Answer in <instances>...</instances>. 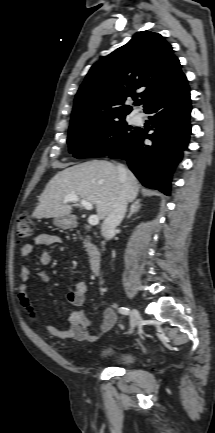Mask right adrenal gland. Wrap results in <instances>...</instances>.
Here are the masks:
<instances>
[{
  "instance_id": "1",
  "label": "right adrenal gland",
  "mask_w": 215,
  "mask_h": 433,
  "mask_svg": "<svg viewBox=\"0 0 215 433\" xmlns=\"http://www.w3.org/2000/svg\"><path fill=\"white\" fill-rule=\"evenodd\" d=\"M140 207H141L140 200H136L135 202H133V204L130 207V211L127 218L129 219L134 213L138 212Z\"/></svg>"
}]
</instances>
